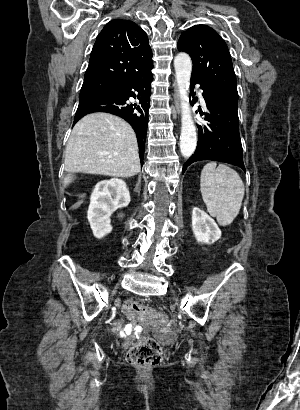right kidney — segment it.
<instances>
[{"instance_id":"1","label":"right kidney","mask_w":300,"mask_h":410,"mask_svg":"<svg viewBox=\"0 0 300 410\" xmlns=\"http://www.w3.org/2000/svg\"><path fill=\"white\" fill-rule=\"evenodd\" d=\"M130 202L126 183L118 178L102 180L93 189L87 218L93 235L101 239L112 231L110 216Z\"/></svg>"}]
</instances>
